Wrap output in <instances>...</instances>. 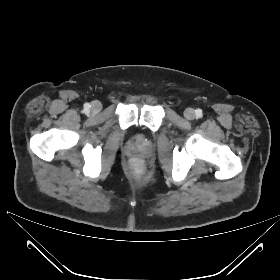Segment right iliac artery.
Segmentation results:
<instances>
[{
  "label": "right iliac artery",
  "mask_w": 280,
  "mask_h": 280,
  "mask_svg": "<svg viewBox=\"0 0 280 280\" xmlns=\"http://www.w3.org/2000/svg\"><path fill=\"white\" fill-rule=\"evenodd\" d=\"M90 107L89 104H85V109H88Z\"/></svg>",
  "instance_id": "1"
}]
</instances>
